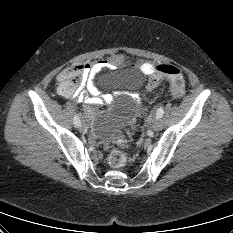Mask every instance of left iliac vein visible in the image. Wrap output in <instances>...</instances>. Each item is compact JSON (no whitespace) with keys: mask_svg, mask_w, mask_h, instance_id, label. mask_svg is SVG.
I'll return each mask as SVG.
<instances>
[{"mask_svg":"<svg viewBox=\"0 0 233 233\" xmlns=\"http://www.w3.org/2000/svg\"><path fill=\"white\" fill-rule=\"evenodd\" d=\"M163 127V122L160 118H155L152 122V129L156 132L160 131Z\"/></svg>","mask_w":233,"mask_h":233,"instance_id":"4c4485c4","label":"left iliac vein"}]
</instances>
